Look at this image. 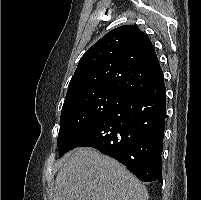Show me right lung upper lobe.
Here are the masks:
<instances>
[{
    "mask_svg": "<svg viewBox=\"0 0 201 200\" xmlns=\"http://www.w3.org/2000/svg\"><path fill=\"white\" fill-rule=\"evenodd\" d=\"M162 79L149 38L137 26L125 25L108 32L85 52L68 85L66 98L94 90L131 96Z\"/></svg>",
    "mask_w": 201,
    "mask_h": 200,
    "instance_id": "obj_1",
    "label": "right lung upper lobe"
}]
</instances>
